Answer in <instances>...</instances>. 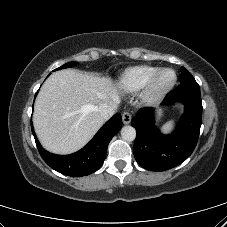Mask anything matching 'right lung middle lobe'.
I'll list each match as a JSON object with an SVG mask.
<instances>
[{
	"label": "right lung middle lobe",
	"mask_w": 227,
	"mask_h": 227,
	"mask_svg": "<svg viewBox=\"0 0 227 227\" xmlns=\"http://www.w3.org/2000/svg\"><path fill=\"white\" fill-rule=\"evenodd\" d=\"M77 64H78L77 62H69V63L64 64L63 66L57 68L56 70L64 69V68H69V67L75 66V65H77Z\"/></svg>",
	"instance_id": "1"
}]
</instances>
